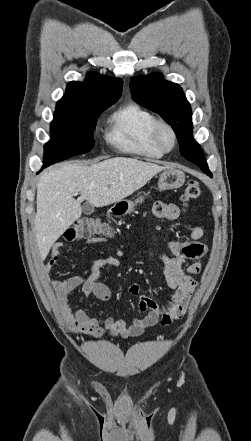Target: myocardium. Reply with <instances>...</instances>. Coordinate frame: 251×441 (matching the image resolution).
<instances>
[{
    "mask_svg": "<svg viewBox=\"0 0 251 441\" xmlns=\"http://www.w3.org/2000/svg\"><path fill=\"white\" fill-rule=\"evenodd\" d=\"M163 130H167L172 136V145L170 147H166L162 143L161 132ZM151 141L154 146L157 147L160 151H162L163 153H168L172 151L177 145L178 137L176 130L168 121L164 119H156L151 129Z\"/></svg>",
    "mask_w": 251,
    "mask_h": 441,
    "instance_id": "myocardium-1",
    "label": "myocardium"
}]
</instances>
